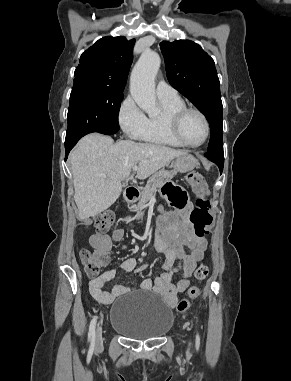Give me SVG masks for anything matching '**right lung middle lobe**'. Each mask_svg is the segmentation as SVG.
<instances>
[{"instance_id": "1", "label": "right lung middle lobe", "mask_w": 291, "mask_h": 381, "mask_svg": "<svg viewBox=\"0 0 291 381\" xmlns=\"http://www.w3.org/2000/svg\"><path fill=\"white\" fill-rule=\"evenodd\" d=\"M123 90L109 88H72L65 142L78 141L88 133L118 126Z\"/></svg>"}]
</instances>
